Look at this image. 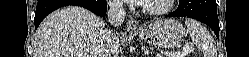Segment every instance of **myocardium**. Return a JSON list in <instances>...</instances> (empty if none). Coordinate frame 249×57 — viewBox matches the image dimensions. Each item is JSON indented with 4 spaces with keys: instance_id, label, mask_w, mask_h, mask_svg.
<instances>
[{
    "instance_id": "myocardium-1",
    "label": "myocardium",
    "mask_w": 249,
    "mask_h": 57,
    "mask_svg": "<svg viewBox=\"0 0 249 57\" xmlns=\"http://www.w3.org/2000/svg\"><path fill=\"white\" fill-rule=\"evenodd\" d=\"M175 0H165V4L160 7H153L148 3L142 4V11L150 16H160L168 13L174 4Z\"/></svg>"
}]
</instances>
